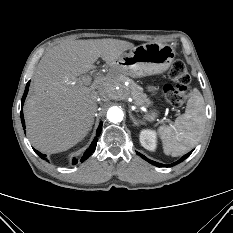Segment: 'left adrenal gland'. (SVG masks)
<instances>
[{"mask_svg": "<svg viewBox=\"0 0 233 233\" xmlns=\"http://www.w3.org/2000/svg\"><path fill=\"white\" fill-rule=\"evenodd\" d=\"M129 116H130V119H131L132 122H133V125H134V126H139V124H140L141 122L138 121V120H136V119L133 117V115H132L131 112H129Z\"/></svg>", "mask_w": 233, "mask_h": 233, "instance_id": "a2214340", "label": "left adrenal gland"}]
</instances>
